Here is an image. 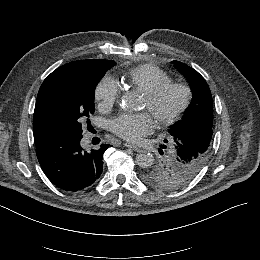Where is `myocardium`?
Masks as SVG:
<instances>
[{"instance_id": "myocardium-1", "label": "myocardium", "mask_w": 260, "mask_h": 260, "mask_svg": "<svg viewBox=\"0 0 260 260\" xmlns=\"http://www.w3.org/2000/svg\"><path fill=\"white\" fill-rule=\"evenodd\" d=\"M172 90H179L183 94V101L179 105V107L164 118H160L155 122L156 127L158 128H166L170 125H173L177 121H179L182 116L186 113L188 108L191 105L193 93L192 89L185 83L170 81L163 85L158 86L157 88L144 93V96L148 102V108L153 109L157 106L165 96Z\"/></svg>"}]
</instances>
